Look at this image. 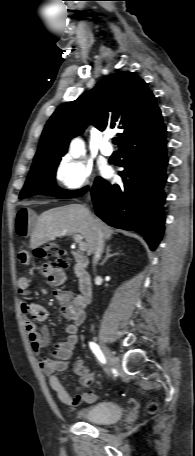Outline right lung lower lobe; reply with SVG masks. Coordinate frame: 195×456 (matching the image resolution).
Wrapping results in <instances>:
<instances>
[{
  "mask_svg": "<svg viewBox=\"0 0 195 456\" xmlns=\"http://www.w3.org/2000/svg\"><path fill=\"white\" fill-rule=\"evenodd\" d=\"M165 135L164 130L142 133L123 144L120 152L125 170L120 176L124 184H110L100 178L91 190L96 215L113 227L141 233L151 250L164 231Z\"/></svg>",
  "mask_w": 195,
  "mask_h": 456,
  "instance_id": "obj_1",
  "label": "right lung lower lobe"
}]
</instances>
